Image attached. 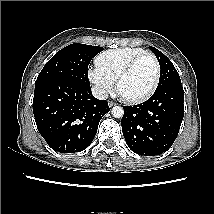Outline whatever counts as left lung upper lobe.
Segmentation results:
<instances>
[{
    "label": "left lung upper lobe",
    "instance_id": "1",
    "mask_svg": "<svg viewBox=\"0 0 214 214\" xmlns=\"http://www.w3.org/2000/svg\"><path fill=\"white\" fill-rule=\"evenodd\" d=\"M149 49L157 57L161 69L159 84L156 90H159L171 84L181 83L180 76L172 62L158 49L151 46L149 47Z\"/></svg>",
    "mask_w": 214,
    "mask_h": 214
}]
</instances>
